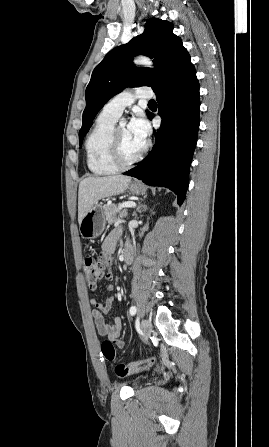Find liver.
Here are the masks:
<instances>
[{"label":"liver","instance_id":"liver-1","mask_svg":"<svg viewBox=\"0 0 269 447\" xmlns=\"http://www.w3.org/2000/svg\"><path fill=\"white\" fill-rule=\"evenodd\" d=\"M130 182L129 176H106V178H84L81 180L78 192L79 224L98 200L123 194Z\"/></svg>","mask_w":269,"mask_h":447}]
</instances>
